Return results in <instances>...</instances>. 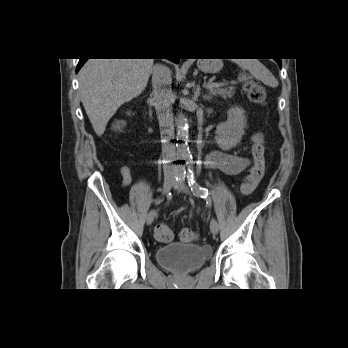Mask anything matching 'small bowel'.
I'll return each mask as SVG.
<instances>
[{
    "label": "small bowel",
    "mask_w": 348,
    "mask_h": 348,
    "mask_svg": "<svg viewBox=\"0 0 348 348\" xmlns=\"http://www.w3.org/2000/svg\"><path fill=\"white\" fill-rule=\"evenodd\" d=\"M249 165V159L236 154L225 153L222 151L212 152L207 159V166L217 169L228 175H238ZM122 184L127 186L131 183V171L128 166L121 168Z\"/></svg>",
    "instance_id": "small-bowel-1"
}]
</instances>
